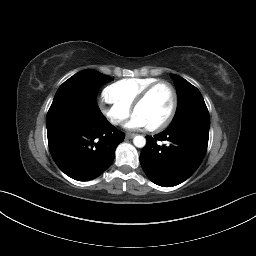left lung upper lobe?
I'll list each match as a JSON object with an SVG mask.
<instances>
[{
	"label": "left lung upper lobe",
	"instance_id": "obj_1",
	"mask_svg": "<svg viewBox=\"0 0 256 256\" xmlns=\"http://www.w3.org/2000/svg\"><path fill=\"white\" fill-rule=\"evenodd\" d=\"M177 94L178 105L171 124L166 129L192 122L209 127V113L199 90L178 75L171 74Z\"/></svg>",
	"mask_w": 256,
	"mask_h": 256
}]
</instances>
